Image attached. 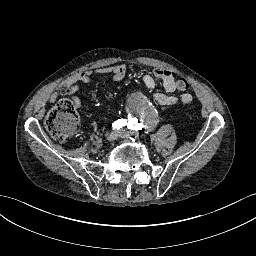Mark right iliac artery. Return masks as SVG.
Segmentation results:
<instances>
[{
  "label": "right iliac artery",
  "instance_id": "obj_1",
  "mask_svg": "<svg viewBox=\"0 0 256 256\" xmlns=\"http://www.w3.org/2000/svg\"><path fill=\"white\" fill-rule=\"evenodd\" d=\"M125 125H126V120L125 119H119V120L115 121L112 124V127H113V129L119 130L120 128H122Z\"/></svg>",
  "mask_w": 256,
  "mask_h": 256
}]
</instances>
